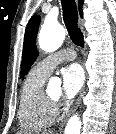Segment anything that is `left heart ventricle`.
Masks as SVG:
<instances>
[{
  "mask_svg": "<svg viewBox=\"0 0 116 134\" xmlns=\"http://www.w3.org/2000/svg\"><path fill=\"white\" fill-rule=\"evenodd\" d=\"M49 95L52 97V98H55L57 99L60 95V91L59 89H53L50 91Z\"/></svg>",
  "mask_w": 116,
  "mask_h": 134,
  "instance_id": "obj_1",
  "label": "left heart ventricle"
}]
</instances>
